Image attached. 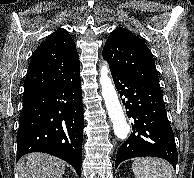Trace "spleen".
<instances>
[{"mask_svg": "<svg viewBox=\"0 0 194 178\" xmlns=\"http://www.w3.org/2000/svg\"><path fill=\"white\" fill-rule=\"evenodd\" d=\"M135 178H173V168L160 158H137L132 164Z\"/></svg>", "mask_w": 194, "mask_h": 178, "instance_id": "obj_1", "label": "spleen"}]
</instances>
